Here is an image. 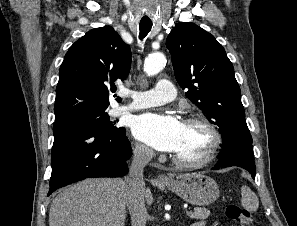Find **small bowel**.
Returning <instances> with one entry per match:
<instances>
[{
    "instance_id": "1",
    "label": "small bowel",
    "mask_w": 297,
    "mask_h": 226,
    "mask_svg": "<svg viewBox=\"0 0 297 226\" xmlns=\"http://www.w3.org/2000/svg\"><path fill=\"white\" fill-rule=\"evenodd\" d=\"M194 226H204V224L203 223H197Z\"/></svg>"
}]
</instances>
